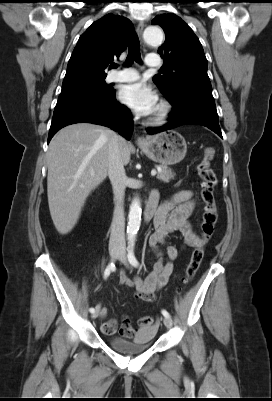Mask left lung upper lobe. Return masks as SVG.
I'll return each mask as SVG.
<instances>
[{"label":"left lung upper lobe","mask_w":272,"mask_h":401,"mask_svg":"<svg viewBox=\"0 0 272 401\" xmlns=\"http://www.w3.org/2000/svg\"><path fill=\"white\" fill-rule=\"evenodd\" d=\"M151 23L160 25L166 36L165 43L158 49L164 60L163 75H155L153 81L167 100L183 93L212 95L208 62L192 29L173 13L158 15Z\"/></svg>","instance_id":"1"}]
</instances>
